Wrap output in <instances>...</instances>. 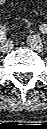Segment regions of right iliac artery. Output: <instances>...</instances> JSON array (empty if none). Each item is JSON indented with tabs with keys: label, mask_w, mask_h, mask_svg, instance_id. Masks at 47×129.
I'll list each match as a JSON object with an SVG mask.
<instances>
[{
	"label": "right iliac artery",
	"mask_w": 47,
	"mask_h": 129,
	"mask_svg": "<svg viewBox=\"0 0 47 129\" xmlns=\"http://www.w3.org/2000/svg\"><path fill=\"white\" fill-rule=\"evenodd\" d=\"M6 39V28L5 26L0 29V40L4 41Z\"/></svg>",
	"instance_id": "right-iliac-artery-1"
}]
</instances>
